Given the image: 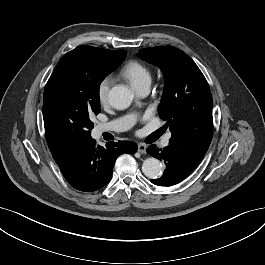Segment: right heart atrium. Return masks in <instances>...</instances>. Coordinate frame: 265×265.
<instances>
[{
	"instance_id": "right-heart-atrium-1",
	"label": "right heart atrium",
	"mask_w": 265,
	"mask_h": 265,
	"mask_svg": "<svg viewBox=\"0 0 265 265\" xmlns=\"http://www.w3.org/2000/svg\"><path fill=\"white\" fill-rule=\"evenodd\" d=\"M111 77H104L100 80L97 86V96L101 104H105L108 101L109 91L112 85Z\"/></svg>"
}]
</instances>
